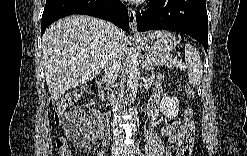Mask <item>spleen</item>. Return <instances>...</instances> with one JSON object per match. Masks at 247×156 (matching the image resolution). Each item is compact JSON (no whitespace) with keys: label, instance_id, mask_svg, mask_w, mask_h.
<instances>
[{"label":"spleen","instance_id":"obj_1","mask_svg":"<svg viewBox=\"0 0 247 156\" xmlns=\"http://www.w3.org/2000/svg\"><path fill=\"white\" fill-rule=\"evenodd\" d=\"M185 62L189 83L199 86L203 76V65L199 53L190 43L185 44Z\"/></svg>","mask_w":247,"mask_h":156}]
</instances>
